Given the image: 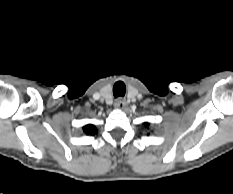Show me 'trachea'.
Wrapping results in <instances>:
<instances>
[{
    "mask_svg": "<svg viewBox=\"0 0 233 194\" xmlns=\"http://www.w3.org/2000/svg\"><path fill=\"white\" fill-rule=\"evenodd\" d=\"M126 92V86L124 82L118 81L113 86V95L115 98L117 97H123Z\"/></svg>",
    "mask_w": 233,
    "mask_h": 194,
    "instance_id": "obj_1",
    "label": "trachea"
}]
</instances>
